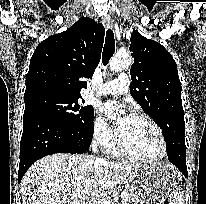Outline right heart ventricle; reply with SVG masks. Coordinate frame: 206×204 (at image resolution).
Here are the masks:
<instances>
[{"mask_svg": "<svg viewBox=\"0 0 206 204\" xmlns=\"http://www.w3.org/2000/svg\"><path fill=\"white\" fill-rule=\"evenodd\" d=\"M112 152H113L114 154H118V151H117L116 148H114V149L112 150Z\"/></svg>", "mask_w": 206, "mask_h": 204, "instance_id": "right-heart-ventricle-1", "label": "right heart ventricle"}]
</instances>
